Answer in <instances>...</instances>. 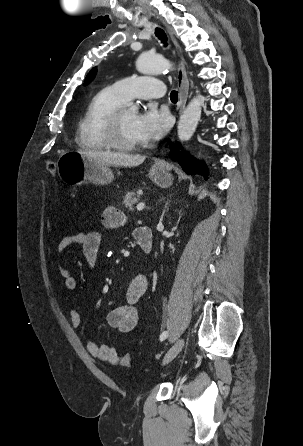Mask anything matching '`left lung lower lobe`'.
<instances>
[{
  "label": "left lung lower lobe",
  "mask_w": 303,
  "mask_h": 446,
  "mask_svg": "<svg viewBox=\"0 0 303 446\" xmlns=\"http://www.w3.org/2000/svg\"><path fill=\"white\" fill-rule=\"evenodd\" d=\"M176 152V145H171V156L173 159H176L183 170L188 174H201L204 175L206 178L208 177V171L206 165L201 162L194 160L192 157H190L188 154H185L184 152Z\"/></svg>",
  "instance_id": "obj_1"
}]
</instances>
